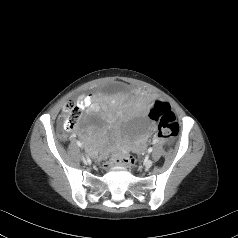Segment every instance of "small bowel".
<instances>
[{"mask_svg": "<svg viewBox=\"0 0 238 238\" xmlns=\"http://www.w3.org/2000/svg\"><path fill=\"white\" fill-rule=\"evenodd\" d=\"M78 105L82 109L95 110L98 108V104L96 103L94 97L92 95H81L78 98ZM152 105L148 108V113L150 112ZM144 140V136L140 137L136 140V142H142Z\"/></svg>", "mask_w": 238, "mask_h": 238, "instance_id": "small-bowel-1", "label": "small bowel"}]
</instances>
